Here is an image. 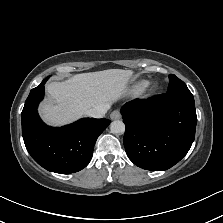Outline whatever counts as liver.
Segmentation results:
<instances>
[{"instance_id":"1","label":"liver","mask_w":223,"mask_h":223,"mask_svg":"<svg viewBox=\"0 0 223 223\" xmlns=\"http://www.w3.org/2000/svg\"><path fill=\"white\" fill-rule=\"evenodd\" d=\"M134 74L132 69H106L50 81L45 86L49 98L39 103L38 114L46 125H69L85 117L89 109L111 106L126 97Z\"/></svg>"}]
</instances>
